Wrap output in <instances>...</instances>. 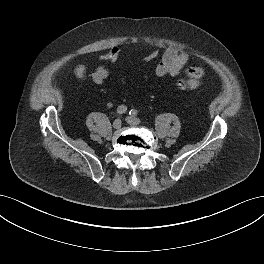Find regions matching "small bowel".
Returning a JSON list of instances; mask_svg holds the SVG:
<instances>
[{
	"label": "small bowel",
	"instance_id": "c3829d8e",
	"mask_svg": "<svg viewBox=\"0 0 264 264\" xmlns=\"http://www.w3.org/2000/svg\"><path fill=\"white\" fill-rule=\"evenodd\" d=\"M190 60V55L186 51L168 47L163 52L160 61L154 69L157 77H176ZM186 74L194 87H198L200 79L203 76V68L201 66H192L186 70ZM75 75L80 80L89 79L95 84H103L109 77L108 69L100 64L95 70L88 74L84 64H79L75 68Z\"/></svg>",
	"mask_w": 264,
	"mask_h": 264
}]
</instances>
